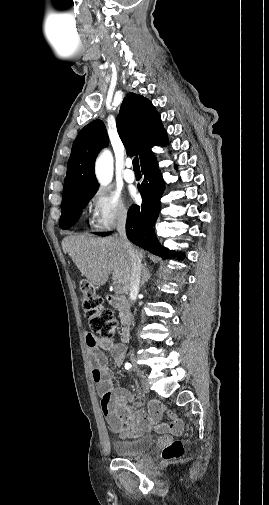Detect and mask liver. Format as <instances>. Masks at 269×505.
Segmentation results:
<instances>
[{
  "label": "liver",
  "instance_id": "1",
  "mask_svg": "<svg viewBox=\"0 0 269 505\" xmlns=\"http://www.w3.org/2000/svg\"><path fill=\"white\" fill-rule=\"evenodd\" d=\"M62 249L91 284L104 285L110 273L114 284L123 286L128 293L130 263L120 237L114 235L94 238L86 235H70L62 240ZM141 258L145 253L135 248Z\"/></svg>",
  "mask_w": 269,
  "mask_h": 505
}]
</instances>
